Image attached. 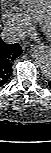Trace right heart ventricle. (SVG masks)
Returning a JSON list of instances; mask_svg holds the SVG:
<instances>
[{
	"mask_svg": "<svg viewBox=\"0 0 51 153\" xmlns=\"http://www.w3.org/2000/svg\"><path fill=\"white\" fill-rule=\"evenodd\" d=\"M18 2L20 10L30 21H39L51 9V0H18Z\"/></svg>",
	"mask_w": 51,
	"mask_h": 153,
	"instance_id": "right-heart-ventricle-1",
	"label": "right heart ventricle"
}]
</instances>
